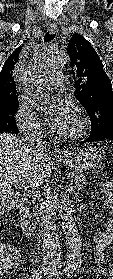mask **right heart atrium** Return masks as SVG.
<instances>
[{
  "label": "right heart atrium",
  "instance_id": "1",
  "mask_svg": "<svg viewBox=\"0 0 113 279\" xmlns=\"http://www.w3.org/2000/svg\"><path fill=\"white\" fill-rule=\"evenodd\" d=\"M15 120L21 132L27 138H38L44 135L45 127L32 108L24 103L19 104Z\"/></svg>",
  "mask_w": 113,
  "mask_h": 279
}]
</instances>
